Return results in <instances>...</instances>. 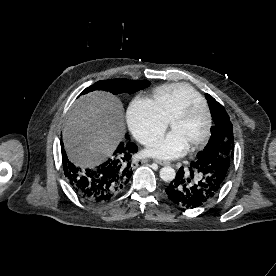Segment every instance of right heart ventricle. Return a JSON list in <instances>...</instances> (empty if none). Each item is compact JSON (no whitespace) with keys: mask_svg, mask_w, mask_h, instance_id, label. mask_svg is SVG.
Here are the masks:
<instances>
[{"mask_svg":"<svg viewBox=\"0 0 276 276\" xmlns=\"http://www.w3.org/2000/svg\"><path fill=\"white\" fill-rule=\"evenodd\" d=\"M152 101L168 122L189 104L206 103L194 88L185 83L165 84L157 87L153 91Z\"/></svg>","mask_w":276,"mask_h":276,"instance_id":"obj_1","label":"right heart ventricle"}]
</instances>
